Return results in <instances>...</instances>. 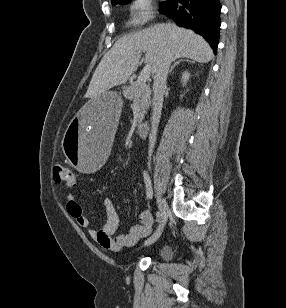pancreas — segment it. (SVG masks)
<instances>
[{
	"mask_svg": "<svg viewBox=\"0 0 286 308\" xmlns=\"http://www.w3.org/2000/svg\"><path fill=\"white\" fill-rule=\"evenodd\" d=\"M150 95V86L139 80L133 82L123 90V96L138 106L137 124H140L144 119L146 110L150 105Z\"/></svg>",
	"mask_w": 286,
	"mask_h": 308,
	"instance_id": "pancreas-1",
	"label": "pancreas"
}]
</instances>
